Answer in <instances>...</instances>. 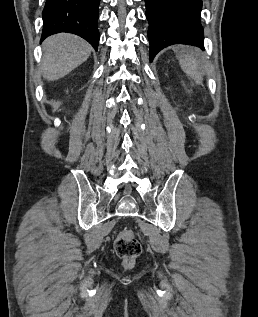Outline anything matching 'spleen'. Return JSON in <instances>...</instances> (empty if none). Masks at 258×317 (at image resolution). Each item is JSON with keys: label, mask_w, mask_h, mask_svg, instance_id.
I'll use <instances>...</instances> for the list:
<instances>
[{"label": "spleen", "mask_w": 258, "mask_h": 317, "mask_svg": "<svg viewBox=\"0 0 258 317\" xmlns=\"http://www.w3.org/2000/svg\"><path fill=\"white\" fill-rule=\"evenodd\" d=\"M174 52H176L179 64L184 72L194 78L198 84H201L202 74L196 50L194 48H179V46H175Z\"/></svg>", "instance_id": "obj_1"}]
</instances>
